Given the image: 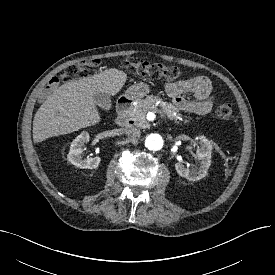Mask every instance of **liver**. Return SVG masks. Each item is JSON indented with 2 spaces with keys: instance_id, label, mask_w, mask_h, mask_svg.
Returning a JSON list of instances; mask_svg holds the SVG:
<instances>
[{
  "instance_id": "1",
  "label": "liver",
  "mask_w": 275,
  "mask_h": 275,
  "mask_svg": "<svg viewBox=\"0 0 275 275\" xmlns=\"http://www.w3.org/2000/svg\"><path fill=\"white\" fill-rule=\"evenodd\" d=\"M126 80V73L111 68L58 87L34 116V142H42L53 136L70 134L98 124L101 118L94 102L95 93L114 96L122 89Z\"/></svg>"
}]
</instances>
